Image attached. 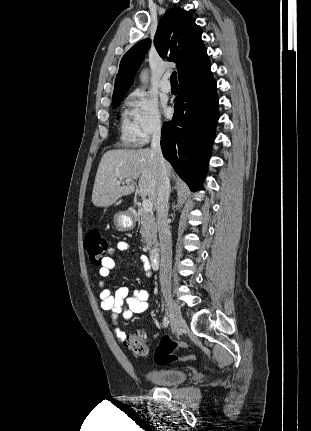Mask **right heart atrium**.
<instances>
[{"label":"right heart atrium","mask_w":311,"mask_h":431,"mask_svg":"<svg viewBox=\"0 0 311 431\" xmlns=\"http://www.w3.org/2000/svg\"><path fill=\"white\" fill-rule=\"evenodd\" d=\"M130 116L139 132V143L146 144L162 133L165 121L158 103L141 90H134L125 99Z\"/></svg>","instance_id":"1"}]
</instances>
